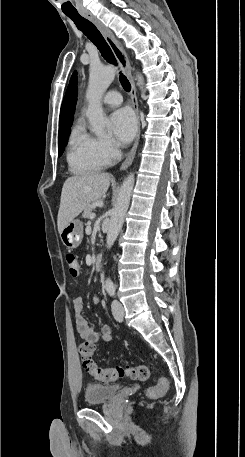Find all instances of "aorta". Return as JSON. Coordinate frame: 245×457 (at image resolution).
<instances>
[{
  "mask_svg": "<svg viewBox=\"0 0 245 457\" xmlns=\"http://www.w3.org/2000/svg\"><path fill=\"white\" fill-rule=\"evenodd\" d=\"M114 78L115 69L112 66H93L90 69L89 83L86 92V98L88 100L86 116L89 119L92 131L96 134H102L109 123L102 110L101 98ZM137 80L140 89L143 90L144 79L140 74H137ZM134 180V174H130L120 187L112 210L109 229L106 236L108 249L112 247L122 228L130 204ZM111 283L110 278H107L106 284L110 285Z\"/></svg>",
  "mask_w": 245,
  "mask_h": 457,
  "instance_id": "aorta-1",
  "label": "aorta"
}]
</instances>
